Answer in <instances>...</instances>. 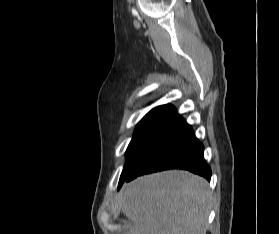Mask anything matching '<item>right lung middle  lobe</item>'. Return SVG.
Instances as JSON below:
<instances>
[{
	"label": "right lung middle lobe",
	"mask_w": 279,
	"mask_h": 234,
	"mask_svg": "<svg viewBox=\"0 0 279 234\" xmlns=\"http://www.w3.org/2000/svg\"><path fill=\"white\" fill-rule=\"evenodd\" d=\"M173 108L154 109L147 113L138 123L134 136L126 151V163L119 181V188L128 174L136 156L151 137L153 132L158 128L162 121L171 113Z\"/></svg>",
	"instance_id": "right-lung-middle-lobe-1"
}]
</instances>
